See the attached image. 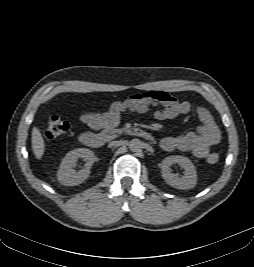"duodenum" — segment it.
Instances as JSON below:
<instances>
[{"label":"duodenum","instance_id":"1","mask_svg":"<svg viewBox=\"0 0 254 267\" xmlns=\"http://www.w3.org/2000/svg\"><path fill=\"white\" fill-rule=\"evenodd\" d=\"M127 134L143 138L145 140H152V135L141 128H129L125 131ZM115 136L113 132L106 131L102 133L84 132L80 136L81 142L91 148L102 147L109 139Z\"/></svg>","mask_w":254,"mask_h":267}]
</instances>
